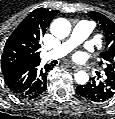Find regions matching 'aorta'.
Instances as JSON below:
<instances>
[{
	"instance_id": "aorta-1",
	"label": "aorta",
	"mask_w": 115,
	"mask_h": 119,
	"mask_svg": "<svg viewBox=\"0 0 115 119\" xmlns=\"http://www.w3.org/2000/svg\"><path fill=\"white\" fill-rule=\"evenodd\" d=\"M50 31L55 37L63 39L70 34L71 25L66 19L59 18L52 22ZM74 78L80 85L86 84L89 80V76L85 71H78L75 73Z\"/></svg>"
}]
</instances>
